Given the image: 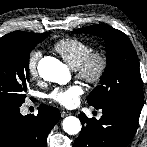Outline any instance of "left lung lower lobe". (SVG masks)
Listing matches in <instances>:
<instances>
[{"mask_svg":"<svg viewBox=\"0 0 147 147\" xmlns=\"http://www.w3.org/2000/svg\"><path fill=\"white\" fill-rule=\"evenodd\" d=\"M100 109V120L79 115L82 129L74 147H127L136 133L140 114L115 105Z\"/></svg>","mask_w":147,"mask_h":147,"instance_id":"left-lung-lower-lobe-1","label":"left lung lower lobe"}]
</instances>
